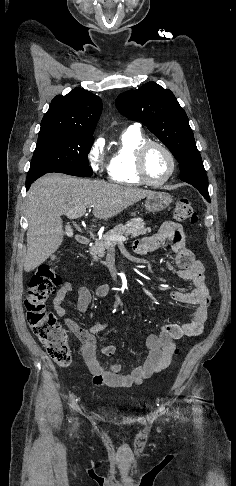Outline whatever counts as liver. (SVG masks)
<instances>
[{
    "mask_svg": "<svg viewBox=\"0 0 236 486\" xmlns=\"http://www.w3.org/2000/svg\"><path fill=\"white\" fill-rule=\"evenodd\" d=\"M152 193L57 173L39 178L30 187L25 202L28 230L24 271L34 270L62 244V215L93 207L96 219H109Z\"/></svg>",
    "mask_w": 236,
    "mask_h": 486,
    "instance_id": "obj_1",
    "label": "liver"
}]
</instances>
